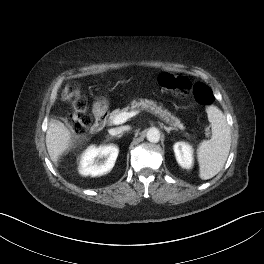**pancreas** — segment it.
Here are the masks:
<instances>
[{
	"mask_svg": "<svg viewBox=\"0 0 264 264\" xmlns=\"http://www.w3.org/2000/svg\"><path fill=\"white\" fill-rule=\"evenodd\" d=\"M137 108L151 109L153 112L158 114L164 121L174 125L175 127L180 128L181 130L185 129V127L183 126V124L180 122V120L177 117L173 116L166 109H163L162 106H158L156 104V102H154L152 100H146V99L145 100L140 99L139 101H133L130 106H126L122 110L116 109V110L112 111L109 114L108 123L111 124L113 121V118L115 116H117L118 114H120L121 112H124V111L127 112L128 110H134Z\"/></svg>",
	"mask_w": 264,
	"mask_h": 264,
	"instance_id": "1",
	"label": "pancreas"
}]
</instances>
